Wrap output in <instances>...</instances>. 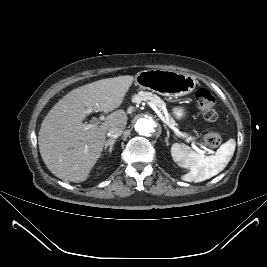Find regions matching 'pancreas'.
<instances>
[{
  "instance_id": "pancreas-1",
  "label": "pancreas",
  "mask_w": 267,
  "mask_h": 267,
  "mask_svg": "<svg viewBox=\"0 0 267 267\" xmlns=\"http://www.w3.org/2000/svg\"><path fill=\"white\" fill-rule=\"evenodd\" d=\"M132 101L135 103H141L142 101H150L159 109H162V107L165 106V102L161 100L160 97H158L155 94H152L151 92H146V91L145 92L141 91L138 94H136L133 97ZM169 123L171 125H175V121L173 120V118L169 119ZM187 140H191V138L189 137Z\"/></svg>"
}]
</instances>
